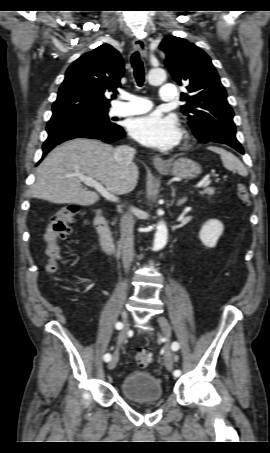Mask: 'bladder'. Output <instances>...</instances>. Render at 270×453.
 Masks as SVG:
<instances>
[{"label": "bladder", "instance_id": "1", "mask_svg": "<svg viewBox=\"0 0 270 453\" xmlns=\"http://www.w3.org/2000/svg\"><path fill=\"white\" fill-rule=\"evenodd\" d=\"M124 398L131 402H156L164 398V391L159 379L149 372L132 371L120 383Z\"/></svg>", "mask_w": 270, "mask_h": 453}]
</instances>
